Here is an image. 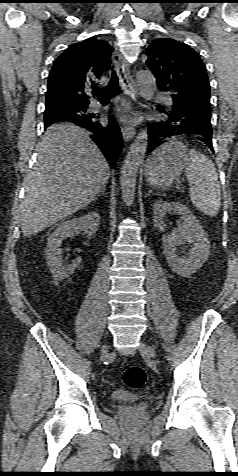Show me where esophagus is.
<instances>
[{"label": "esophagus", "instance_id": "34e87169", "mask_svg": "<svg viewBox=\"0 0 238 476\" xmlns=\"http://www.w3.org/2000/svg\"><path fill=\"white\" fill-rule=\"evenodd\" d=\"M112 62L118 72L122 68L124 79L127 83V86L123 84V88L125 90V93H124L125 99H124V111L121 117L120 128H121L123 139L125 141H130L134 137L136 130L133 127V125L128 123L127 114L132 108V102L138 99V88H137L136 82L131 76L129 64L125 61V59L120 53L116 52L112 56Z\"/></svg>", "mask_w": 238, "mask_h": 476}]
</instances>
